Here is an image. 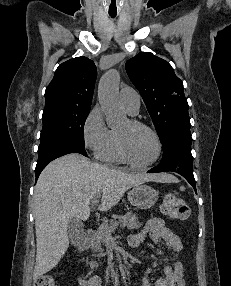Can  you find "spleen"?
Returning a JSON list of instances; mask_svg holds the SVG:
<instances>
[{"mask_svg":"<svg viewBox=\"0 0 231 286\" xmlns=\"http://www.w3.org/2000/svg\"><path fill=\"white\" fill-rule=\"evenodd\" d=\"M184 189H185L184 187H180V190H181V191H184Z\"/></svg>","mask_w":231,"mask_h":286,"instance_id":"1","label":"spleen"}]
</instances>
